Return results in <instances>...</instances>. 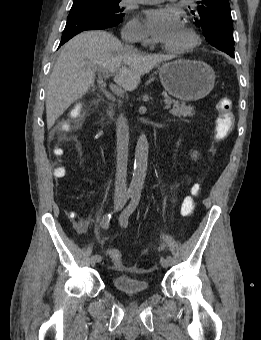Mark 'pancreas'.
Returning a JSON list of instances; mask_svg holds the SVG:
<instances>
[{
    "mask_svg": "<svg viewBox=\"0 0 261 340\" xmlns=\"http://www.w3.org/2000/svg\"><path fill=\"white\" fill-rule=\"evenodd\" d=\"M166 104H172L173 108L169 111L170 114L176 117H192L194 113V107L188 106L185 103H180L171 98H166Z\"/></svg>",
    "mask_w": 261,
    "mask_h": 340,
    "instance_id": "obj_1",
    "label": "pancreas"
}]
</instances>
